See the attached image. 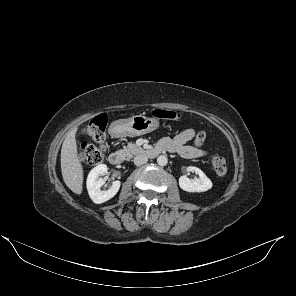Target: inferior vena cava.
Segmentation results:
<instances>
[{"instance_id": "obj_1", "label": "inferior vena cava", "mask_w": 296, "mask_h": 296, "mask_svg": "<svg viewBox=\"0 0 296 296\" xmlns=\"http://www.w3.org/2000/svg\"><path fill=\"white\" fill-rule=\"evenodd\" d=\"M148 161V158L145 156V155H137L134 157V164L136 166H140V165H143L145 163H147Z\"/></svg>"}]
</instances>
